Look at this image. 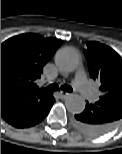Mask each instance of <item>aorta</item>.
I'll use <instances>...</instances> for the list:
<instances>
[{
  "mask_svg": "<svg viewBox=\"0 0 122 154\" xmlns=\"http://www.w3.org/2000/svg\"><path fill=\"white\" fill-rule=\"evenodd\" d=\"M57 68L64 73L74 72L80 64L77 52L69 47L61 48L55 56ZM85 100L77 94H70L66 97L65 106L70 113L79 114L85 109Z\"/></svg>",
  "mask_w": 122,
  "mask_h": 154,
  "instance_id": "aorta-1",
  "label": "aorta"
}]
</instances>
